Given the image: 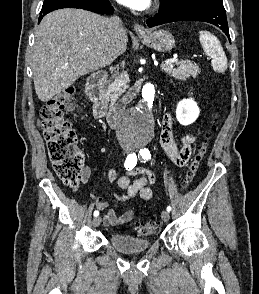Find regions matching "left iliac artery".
<instances>
[{
    "label": "left iliac artery",
    "mask_w": 259,
    "mask_h": 294,
    "mask_svg": "<svg viewBox=\"0 0 259 294\" xmlns=\"http://www.w3.org/2000/svg\"><path fill=\"white\" fill-rule=\"evenodd\" d=\"M140 155L142 157V159L144 160H148L151 157V154L149 152V150L147 148L141 149L140 150ZM167 211L170 212L171 211V206H167Z\"/></svg>",
    "instance_id": "obj_1"
}]
</instances>
